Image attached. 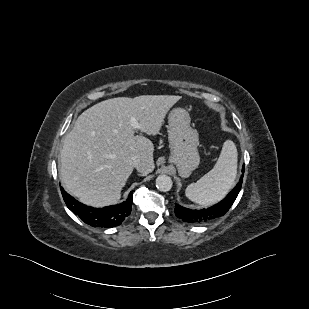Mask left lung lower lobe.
Listing matches in <instances>:
<instances>
[{
	"instance_id": "left-lung-lower-lobe-1",
	"label": "left lung lower lobe",
	"mask_w": 309,
	"mask_h": 309,
	"mask_svg": "<svg viewBox=\"0 0 309 309\" xmlns=\"http://www.w3.org/2000/svg\"><path fill=\"white\" fill-rule=\"evenodd\" d=\"M242 172L244 173V165L242 168ZM242 182H243V174L241 175L238 184L226 196V198L208 209L191 210L184 208L179 204H175V214L178 218L190 224H204L218 217H221L229 210V208L234 203L241 189Z\"/></svg>"
}]
</instances>
